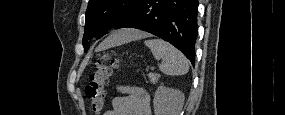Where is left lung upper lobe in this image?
Returning <instances> with one entry per match:
<instances>
[{"label":"left lung upper lobe","instance_id":"1","mask_svg":"<svg viewBox=\"0 0 285 115\" xmlns=\"http://www.w3.org/2000/svg\"><path fill=\"white\" fill-rule=\"evenodd\" d=\"M137 0H89L86 10L84 51L89 48L87 39L100 38L114 27Z\"/></svg>","mask_w":285,"mask_h":115}]
</instances>
